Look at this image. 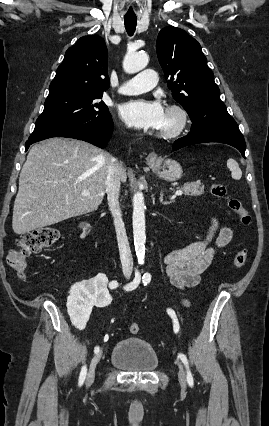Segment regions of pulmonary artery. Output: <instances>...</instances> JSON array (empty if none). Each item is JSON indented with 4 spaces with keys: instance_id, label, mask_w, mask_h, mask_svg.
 <instances>
[{
    "instance_id": "e3ab8cb5",
    "label": "pulmonary artery",
    "mask_w": 269,
    "mask_h": 426,
    "mask_svg": "<svg viewBox=\"0 0 269 426\" xmlns=\"http://www.w3.org/2000/svg\"><path fill=\"white\" fill-rule=\"evenodd\" d=\"M157 84V73L153 69H145L126 80L119 88V93L134 95L147 92Z\"/></svg>"
}]
</instances>
